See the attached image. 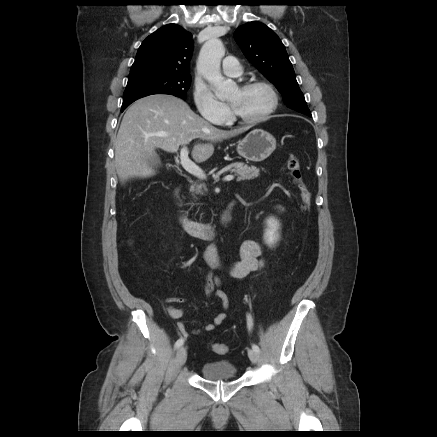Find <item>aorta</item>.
Returning <instances> with one entry per match:
<instances>
[{
	"instance_id": "aorta-1",
	"label": "aorta",
	"mask_w": 437,
	"mask_h": 437,
	"mask_svg": "<svg viewBox=\"0 0 437 437\" xmlns=\"http://www.w3.org/2000/svg\"><path fill=\"white\" fill-rule=\"evenodd\" d=\"M225 55L223 43L218 38L208 40L201 48L197 70L214 88L217 98L228 97L237 89V85L232 80H225L220 71L221 59Z\"/></svg>"
}]
</instances>
